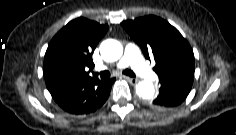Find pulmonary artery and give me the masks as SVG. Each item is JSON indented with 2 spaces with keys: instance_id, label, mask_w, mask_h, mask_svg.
I'll return each mask as SVG.
<instances>
[{
  "instance_id": "e3ab8cb5",
  "label": "pulmonary artery",
  "mask_w": 236,
  "mask_h": 135,
  "mask_svg": "<svg viewBox=\"0 0 236 135\" xmlns=\"http://www.w3.org/2000/svg\"><path fill=\"white\" fill-rule=\"evenodd\" d=\"M131 66L132 69L145 79H156L155 72L143 60L139 47L134 43L126 46L124 57L116 64L117 69Z\"/></svg>"
}]
</instances>
